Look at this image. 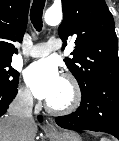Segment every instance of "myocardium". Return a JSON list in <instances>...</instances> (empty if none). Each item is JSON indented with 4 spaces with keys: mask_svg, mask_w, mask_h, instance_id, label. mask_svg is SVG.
<instances>
[{
    "mask_svg": "<svg viewBox=\"0 0 119 141\" xmlns=\"http://www.w3.org/2000/svg\"><path fill=\"white\" fill-rule=\"evenodd\" d=\"M62 79L69 85L71 90V99L68 104L61 107H54L48 101L45 104L46 110L54 115H67L75 112L82 101V92L77 79L70 73L62 76Z\"/></svg>",
    "mask_w": 119,
    "mask_h": 141,
    "instance_id": "f54148a6",
    "label": "myocardium"
}]
</instances>
